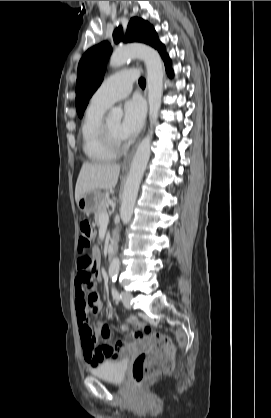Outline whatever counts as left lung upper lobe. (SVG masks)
<instances>
[{
	"mask_svg": "<svg viewBox=\"0 0 271 418\" xmlns=\"http://www.w3.org/2000/svg\"><path fill=\"white\" fill-rule=\"evenodd\" d=\"M114 41L122 39V28H117L113 34ZM124 42H142L155 49L161 46L157 33L147 22L137 17L130 20ZM112 52L109 42H101L90 48L81 58L78 65L76 82V110L78 116H83L84 110L103 80L107 59Z\"/></svg>",
	"mask_w": 271,
	"mask_h": 418,
	"instance_id": "1",
	"label": "left lung upper lobe"
}]
</instances>
